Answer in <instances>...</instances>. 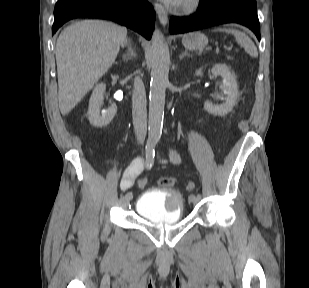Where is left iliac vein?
<instances>
[{
    "instance_id": "1",
    "label": "left iliac vein",
    "mask_w": 309,
    "mask_h": 288,
    "mask_svg": "<svg viewBox=\"0 0 309 288\" xmlns=\"http://www.w3.org/2000/svg\"><path fill=\"white\" fill-rule=\"evenodd\" d=\"M200 199L199 198H197V197H195L194 199H191L190 198V202H192V203H197L198 201H199Z\"/></svg>"
}]
</instances>
